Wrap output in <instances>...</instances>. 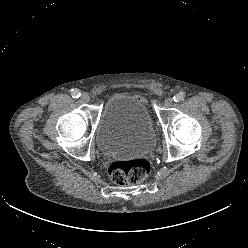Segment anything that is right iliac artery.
Here are the masks:
<instances>
[{"mask_svg": "<svg viewBox=\"0 0 248 248\" xmlns=\"http://www.w3.org/2000/svg\"><path fill=\"white\" fill-rule=\"evenodd\" d=\"M71 95H72L73 98H78V97H80L81 93H80V91L78 89H72L71 90Z\"/></svg>", "mask_w": 248, "mask_h": 248, "instance_id": "82829eb1", "label": "right iliac artery"}]
</instances>
